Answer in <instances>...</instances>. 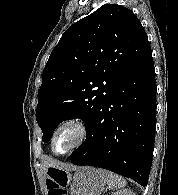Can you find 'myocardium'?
Masks as SVG:
<instances>
[{"instance_id":"myocardium-1","label":"myocardium","mask_w":178,"mask_h":195,"mask_svg":"<svg viewBox=\"0 0 178 195\" xmlns=\"http://www.w3.org/2000/svg\"><path fill=\"white\" fill-rule=\"evenodd\" d=\"M65 128L75 129L78 133V138L74 142V144L70 148H68L67 150H65L63 152H56L54 150V142H55L56 136L61 130L65 129ZM87 136H88V128L82 120H80V119H69V120L64 121L63 123H61L56 128V130L54 131V133L51 137V143H50L51 149L57 155L68 154V153L76 150L77 148H79L85 142V140L87 139Z\"/></svg>"}]
</instances>
